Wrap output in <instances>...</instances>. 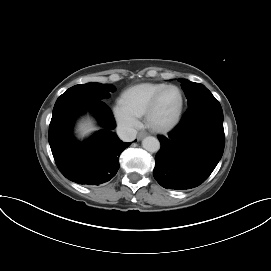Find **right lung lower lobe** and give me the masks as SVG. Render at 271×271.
<instances>
[{
    "instance_id": "obj_1",
    "label": "right lung lower lobe",
    "mask_w": 271,
    "mask_h": 271,
    "mask_svg": "<svg viewBox=\"0 0 271 271\" xmlns=\"http://www.w3.org/2000/svg\"><path fill=\"white\" fill-rule=\"evenodd\" d=\"M90 110L103 127L90 139L78 142L72 135L75 118ZM109 107L102 100H80L54 106L49 126V144L62 174L71 181L99 185L119 169V156L130 143L122 142Z\"/></svg>"
}]
</instances>
